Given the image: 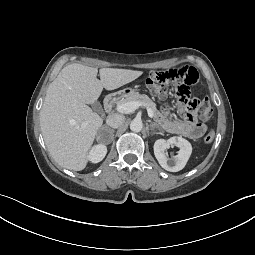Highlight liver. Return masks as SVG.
Segmentation results:
<instances>
[{
	"instance_id": "1",
	"label": "liver",
	"mask_w": 255,
	"mask_h": 255,
	"mask_svg": "<svg viewBox=\"0 0 255 255\" xmlns=\"http://www.w3.org/2000/svg\"><path fill=\"white\" fill-rule=\"evenodd\" d=\"M97 68L73 63L65 66L50 84L40 112V126L47 149L62 167L81 171L103 119L88 106L103 88L117 89L143 71Z\"/></svg>"
}]
</instances>
